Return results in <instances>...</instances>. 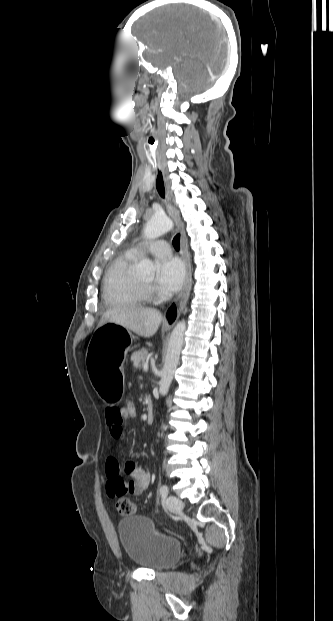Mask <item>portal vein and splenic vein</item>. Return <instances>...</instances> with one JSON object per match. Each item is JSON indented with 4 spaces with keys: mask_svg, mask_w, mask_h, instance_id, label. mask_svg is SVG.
<instances>
[{
    "mask_svg": "<svg viewBox=\"0 0 333 621\" xmlns=\"http://www.w3.org/2000/svg\"><path fill=\"white\" fill-rule=\"evenodd\" d=\"M148 368H149V367H148V364H147V363H145V364L143 365V370H144V371H148Z\"/></svg>",
    "mask_w": 333,
    "mask_h": 621,
    "instance_id": "18ae733b",
    "label": "portal vein and splenic vein"
}]
</instances>
